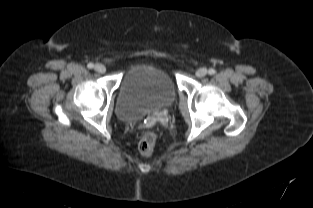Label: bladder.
<instances>
[{
  "label": "bladder",
  "instance_id": "1",
  "mask_svg": "<svg viewBox=\"0 0 313 208\" xmlns=\"http://www.w3.org/2000/svg\"><path fill=\"white\" fill-rule=\"evenodd\" d=\"M176 94V83L167 70L156 65L137 64L122 78L115 112L123 121L134 120L166 108Z\"/></svg>",
  "mask_w": 313,
  "mask_h": 208
}]
</instances>
